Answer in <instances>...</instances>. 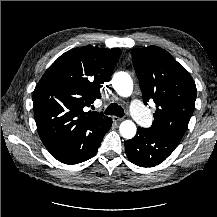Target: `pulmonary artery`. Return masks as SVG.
<instances>
[{"label": "pulmonary artery", "mask_w": 217, "mask_h": 217, "mask_svg": "<svg viewBox=\"0 0 217 217\" xmlns=\"http://www.w3.org/2000/svg\"><path fill=\"white\" fill-rule=\"evenodd\" d=\"M130 113L137 119L146 117V111L138 100H134L130 105Z\"/></svg>", "instance_id": "1"}]
</instances>
